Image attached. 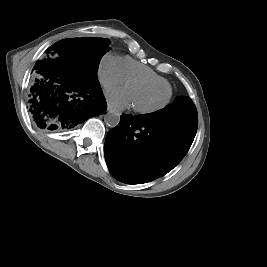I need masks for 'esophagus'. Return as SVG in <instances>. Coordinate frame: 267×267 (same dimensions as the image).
Instances as JSON below:
<instances>
[{
  "label": "esophagus",
  "mask_w": 267,
  "mask_h": 267,
  "mask_svg": "<svg viewBox=\"0 0 267 267\" xmlns=\"http://www.w3.org/2000/svg\"><path fill=\"white\" fill-rule=\"evenodd\" d=\"M107 110L109 112H112V111H114V107L111 104H108Z\"/></svg>",
  "instance_id": "1"
}]
</instances>
